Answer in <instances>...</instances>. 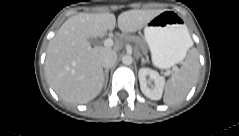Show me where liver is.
<instances>
[{
	"mask_svg": "<svg viewBox=\"0 0 239 136\" xmlns=\"http://www.w3.org/2000/svg\"><path fill=\"white\" fill-rule=\"evenodd\" d=\"M162 10H129L118 16L123 33L142 29ZM112 13H79L68 18L49 42L45 60L46 78L57 95L68 103L83 104L96 98L104 85V72L99 61L102 51L92 48L89 39L113 30Z\"/></svg>",
	"mask_w": 239,
	"mask_h": 136,
	"instance_id": "liver-1",
	"label": "liver"
}]
</instances>
